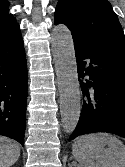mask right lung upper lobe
Listing matches in <instances>:
<instances>
[{"label": "right lung upper lobe", "instance_id": "1", "mask_svg": "<svg viewBox=\"0 0 125 167\" xmlns=\"http://www.w3.org/2000/svg\"><path fill=\"white\" fill-rule=\"evenodd\" d=\"M19 29V25L12 14L8 11V1L0 0V35Z\"/></svg>", "mask_w": 125, "mask_h": 167}]
</instances>
